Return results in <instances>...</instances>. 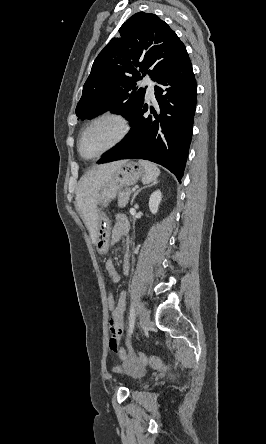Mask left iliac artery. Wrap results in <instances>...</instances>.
<instances>
[{"label":"left iliac artery","mask_w":266,"mask_h":444,"mask_svg":"<svg viewBox=\"0 0 266 444\" xmlns=\"http://www.w3.org/2000/svg\"><path fill=\"white\" fill-rule=\"evenodd\" d=\"M134 323H135V309L133 304L131 305L130 308V317H129V330H128V336L130 337L133 329H134Z\"/></svg>","instance_id":"obj_1"}]
</instances>
